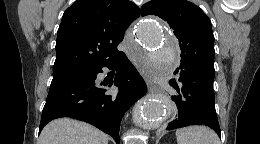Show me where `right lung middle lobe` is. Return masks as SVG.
<instances>
[{
	"mask_svg": "<svg viewBox=\"0 0 260 144\" xmlns=\"http://www.w3.org/2000/svg\"><path fill=\"white\" fill-rule=\"evenodd\" d=\"M81 68H74V69H67V70H60V71H53V80L68 75L70 73L79 71Z\"/></svg>",
	"mask_w": 260,
	"mask_h": 144,
	"instance_id": "1",
	"label": "right lung middle lobe"
}]
</instances>
